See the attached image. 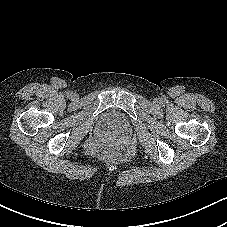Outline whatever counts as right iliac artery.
<instances>
[{
	"mask_svg": "<svg viewBox=\"0 0 227 227\" xmlns=\"http://www.w3.org/2000/svg\"><path fill=\"white\" fill-rule=\"evenodd\" d=\"M67 96H68V97L72 96V92H71V91H68V92H67Z\"/></svg>",
	"mask_w": 227,
	"mask_h": 227,
	"instance_id": "right-iliac-artery-1",
	"label": "right iliac artery"
}]
</instances>
